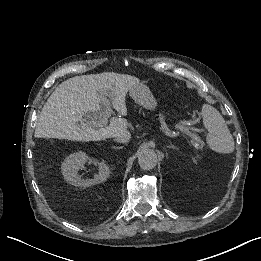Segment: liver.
I'll return each instance as SVG.
<instances>
[{
  "label": "liver",
  "mask_w": 261,
  "mask_h": 261,
  "mask_svg": "<svg viewBox=\"0 0 261 261\" xmlns=\"http://www.w3.org/2000/svg\"><path fill=\"white\" fill-rule=\"evenodd\" d=\"M137 83L139 79L134 76L107 72L69 78L55 89L43 106L34 136L101 141L129 133L124 118H112L105 128L90 127V122L83 120H94L100 103L106 98L111 99L120 115L126 116L125 96Z\"/></svg>",
  "instance_id": "obj_1"
}]
</instances>
